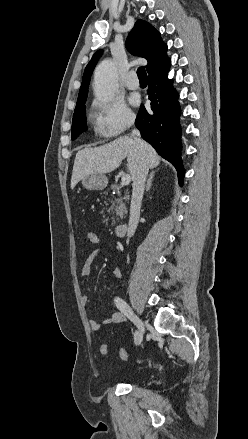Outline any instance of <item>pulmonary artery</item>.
<instances>
[{
    "instance_id": "1",
    "label": "pulmonary artery",
    "mask_w": 248,
    "mask_h": 439,
    "mask_svg": "<svg viewBox=\"0 0 248 439\" xmlns=\"http://www.w3.org/2000/svg\"><path fill=\"white\" fill-rule=\"evenodd\" d=\"M124 84L130 90H135L139 87V80L134 71H131L126 75Z\"/></svg>"
}]
</instances>
